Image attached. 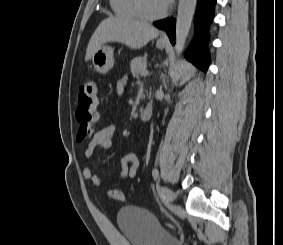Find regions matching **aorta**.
Segmentation results:
<instances>
[{
  "label": "aorta",
  "instance_id": "aorta-1",
  "mask_svg": "<svg viewBox=\"0 0 283 245\" xmlns=\"http://www.w3.org/2000/svg\"><path fill=\"white\" fill-rule=\"evenodd\" d=\"M197 0H179L176 20L175 50L180 55L191 27Z\"/></svg>",
  "mask_w": 283,
  "mask_h": 245
}]
</instances>
